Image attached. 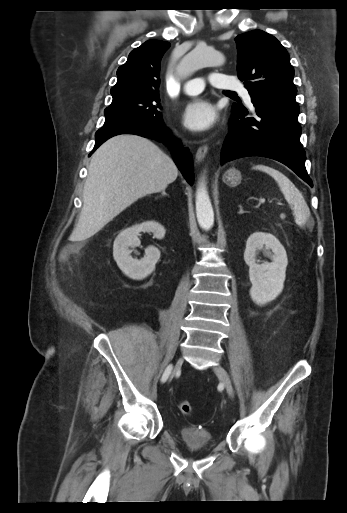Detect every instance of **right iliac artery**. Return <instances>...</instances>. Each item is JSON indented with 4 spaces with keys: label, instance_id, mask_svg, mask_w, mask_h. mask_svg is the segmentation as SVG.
<instances>
[{
    "label": "right iliac artery",
    "instance_id": "obj_1",
    "mask_svg": "<svg viewBox=\"0 0 347 513\" xmlns=\"http://www.w3.org/2000/svg\"><path fill=\"white\" fill-rule=\"evenodd\" d=\"M171 370H172V365L170 364V365H168L166 367V369H165V371H164V373L162 375V378H161L162 382H165L168 379V377H169V375L171 373Z\"/></svg>",
    "mask_w": 347,
    "mask_h": 513
}]
</instances>
